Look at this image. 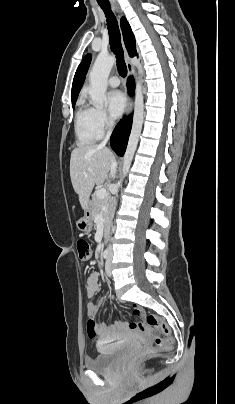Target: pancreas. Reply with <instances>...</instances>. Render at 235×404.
<instances>
[{
    "label": "pancreas",
    "mask_w": 235,
    "mask_h": 404,
    "mask_svg": "<svg viewBox=\"0 0 235 404\" xmlns=\"http://www.w3.org/2000/svg\"><path fill=\"white\" fill-rule=\"evenodd\" d=\"M110 203L108 198L99 199L96 194L93 196L91 204V215L94 219L96 215L100 214L104 220L109 216Z\"/></svg>",
    "instance_id": "1"
}]
</instances>
